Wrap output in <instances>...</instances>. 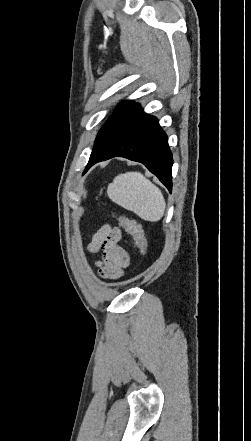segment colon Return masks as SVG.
Here are the masks:
<instances>
[{
	"label": "colon",
	"mask_w": 251,
	"mask_h": 441,
	"mask_svg": "<svg viewBox=\"0 0 251 441\" xmlns=\"http://www.w3.org/2000/svg\"><path fill=\"white\" fill-rule=\"evenodd\" d=\"M120 226H122L134 239L135 244L139 248L142 255H146L148 251L147 240L140 224L124 214H114Z\"/></svg>",
	"instance_id": "1"
}]
</instances>
